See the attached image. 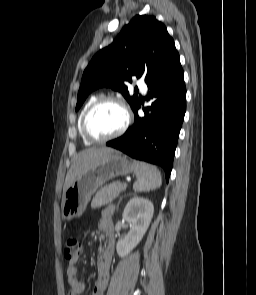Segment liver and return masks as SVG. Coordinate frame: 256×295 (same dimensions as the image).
Segmentation results:
<instances>
[{
  "label": "liver",
  "mask_w": 256,
  "mask_h": 295,
  "mask_svg": "<svg viewBox=\"0 0 256 295\" xmlns=\"http://www.w3.org/2000/svg\"><path fill=\"white\" fill-rule=\"evenodd\" d=\"M112 153H115V151L107 147L89 148L80 152L67 172L64 192L73 184L75 180L79 178L81 174L85 173L90 166L97 163L106 155Z\"/></svg>",
  "instance_id": "6515ba94"
}]
</instances>
